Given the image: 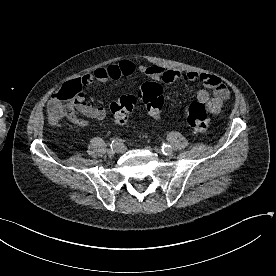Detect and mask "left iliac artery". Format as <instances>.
<instances>
[{
    "mask_svg": "<svg viewBox=\"0 0 276 276\" xmlns=\"http://www.w3.org/2000/svg\"><path fill=\"white\" fill-rule=\"evenodd\" d=\"M161 150L163 151V153H165L172 150V147L169 144H163Z\"/></svg>",
    "mask_w": 276,
    "mask_h": 276,
    "instance_id": "1",
    "label": "left iliac artery"
}]
</instances>
